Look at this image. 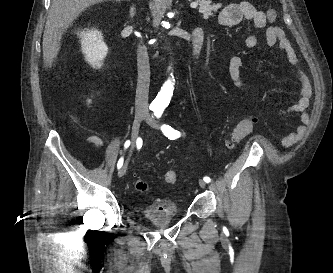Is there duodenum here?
Here are the masks:
<instances>
[{"instance_id":"obj_1","label":"duodenum","mask_w":333,"mask_h":273,"mask_svg":"<svg viewBox=\"0 0 333 273\" xmlns=\"http://www.w3.org/2000/svg\"><path fill=\"white\" fill-rule=\"evenodd\" d=\"M203 38L204 34L202 29L196 28L193 30L192 40H191V53L194 62H197L198 60L201 48L203 46Z\"/></svg>"}]
</instances>
